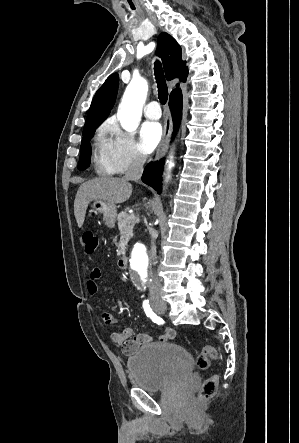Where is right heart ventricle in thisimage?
<instances>
[{
  "label": "right heart ventricle",
  "mask_w": 299,
  "mask_h": 443,
  "mask_svg": "<svg viewBox=\"0 0 299 443\" xmlns=\"http://www.w3.org/2000/svg\"><path fill=\"white\" fill-rule=\"evenodd\" d=\"M93 164L97 174L113 175L117 171L110 155L109 140L103 136L97 137L93 148Z\"/></svg>",
  "instance_id": "right-heart-ventricle-1"
}]
</instances>
